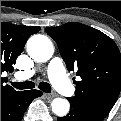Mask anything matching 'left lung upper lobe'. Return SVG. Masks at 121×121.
<instances>
[{
  "label": "left lung upper lobe",
  "instance_id": "left-lung-upper-lobe-1",
  "mask_svg": "<svg viewBox=\"0 0 121 121\" xmlns=\"http://www.w3.org/2000/svg\"><path fill=\"white\" fill-rule=\"evenodd\" d=\"M45 30L58 44L67 69L81 78L74 81L75 96L69 99L106 117L121 89V55L114 41L76 22Z\"/></svg>",
  "mask_w": 121,
  "mask_h": 121
}]
</instances>
